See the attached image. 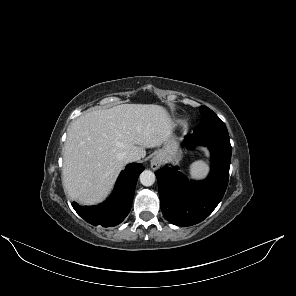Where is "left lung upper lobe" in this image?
<instances>
[{"instance_id": "left-lung-upper-lobe-1", "label": "left lung upper lobe", "mask_w": 296, "mask_h": 296, "mask_svg": "<svg viewBox=\"0 0 296 296\" xmlns=\"http://www.w3.org/2000/svg\"><path fill=\"white\" fill-rule=\"evenodd\" d=\"M200 110L203 119L196 126L194 132L227 130L224 122L211 109L206 106H201Z\"/></svg>"}]
</instances>
